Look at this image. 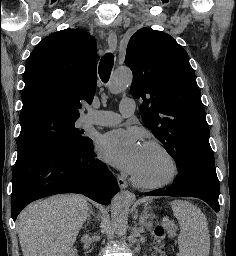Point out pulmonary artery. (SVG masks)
<instances>
[{"instance_id": "obj_1", "label": "pulmonary artery", "mask_w": 236, "mask_h": 256, "mask_svg": "<svg viewBox=\"0 0 236 256\" xmlns=\"http://www.w3.org/2000/svg\"><path fill=\"white\" fill-rule=\"evenodd\" d=\"M103 117H91L88 123L99 126H114L120 123L123 117H130L134 114L133 101H121L119 113L106 111Z\"/></svg>"}]
</instances>
